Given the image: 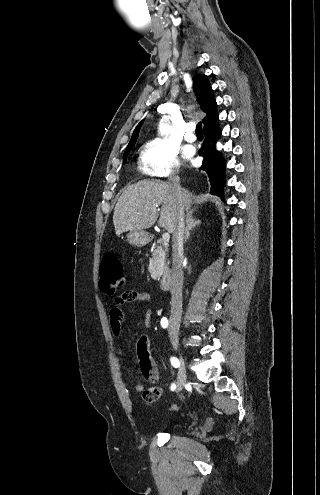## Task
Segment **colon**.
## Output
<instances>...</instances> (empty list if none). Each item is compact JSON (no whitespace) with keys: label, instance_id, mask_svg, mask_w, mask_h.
I'll return each instance as SVG.
<instances>
[{"label":"colon","instance_id":"obj_1","mask_svg":"<svg viewBox=\"0 0 320 495\" xmlns=\"http://www.w3.org/2000/svg\"><path fill=\"white\" fill-rule=\"evenodd\" d=\"M100 287L108 293H113L124 282V272L119 257L116 254L108 253L101 261L100 268ZM147 341L145 338H141L137 344L138 357L140 362L145 367L151 366V360L147 348ZM158 377H155L152 381L156 382ZM161 395V390L158 387H150L143 391L142 399L146 403H153L158 400ZM172 409L176 410L174 405Z\"/></svg>","mask_w":320,"mask_h":495}]
</instances>
